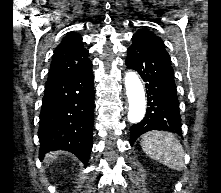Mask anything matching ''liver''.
<instances>
[{
    "instance_id": "obj_1",
    "label": "liver",
    "mask_w": 221,
    "mask_h": 193,
    "mask_svg": "<svg viewBox=\"0 0 221 193\" xmlns=\"http://www.w3.org/2000/svg\"><path fill=\"white\" fill-rule=\"evenodd\" d=\"M56 158H57V153H52V154L48 155L45 160L47 163H50L51 161L55 160Z\"/></svg>"
}]
</instances>
